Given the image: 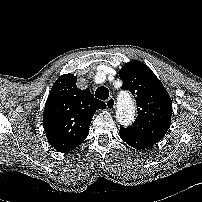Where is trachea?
<instances>
[{"label":"trachea","mask_w":202,"mask_h":202,"mask_svg":"<svg viewBox=\"0 0 202 202\" xmlns=\"http://www.w3.org/2000/svg\"><path fill=\"white\" fill-rule=\"evenodd\" d=\"M95 97L101 100L108 99L109 90L106 87H99L95 91Z\"/></svg>","instance_id":"obj_1"}]
</instances>
